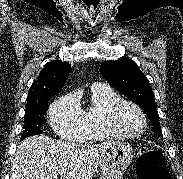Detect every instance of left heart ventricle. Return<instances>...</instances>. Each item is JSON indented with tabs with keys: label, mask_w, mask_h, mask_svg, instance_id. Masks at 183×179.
Listing matches in <instances>:
<instances>
[{
	"label": "left heart ventricle",
	"mask_w": 183,
	"mask_h": 179,
	"mask_svg": "<svg viewBox=\"0 0 183 179\" xmlns=\"http://www.w3.org/2000/svg\"><path fill=\"white\" fill-rule=\"evenodd\" d=\"M117 125L122 132L133 134L142 128L143 120L136 109L126 106L118 116Z\"/></svg>",
	"instance_id": "b2bd125f"
}]
</instances>
